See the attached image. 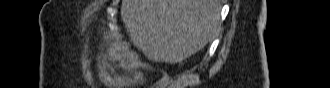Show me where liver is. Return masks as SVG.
<instances>
[{"label":"liver","mask_w":330,"mask_h":88,"mask_svg":"<svg viewBox=\"0 0 330 88\" xmlns=\"http://www.w3.org/2000/svg\"><path fill=\"white\" fill-rule=\"evenodd\" d=\"M220 11V0H123L121 18L149 60L175 64L215 37Z\"/></svg>","instance_id":"1"}]
</instances>
